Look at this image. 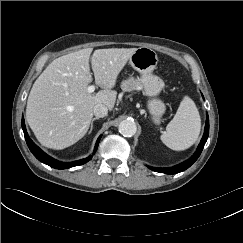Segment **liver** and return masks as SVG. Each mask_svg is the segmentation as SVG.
Listing matches in <instances>:
<instances>
[{"instance_id":"6515ba94","label":"liver","mask_w":243,"mask_h":243,"mask_svg":"<svg viewBox=\"0 0 243 243\" xmlns=\"http://www.w3.org/2000/svg\"><path fill=\"white\" fill-rule=\"evenodd\" d=\"M137 48L97 49L91 57L95 83L103 90L87 92L92 82V48L53 60L34 82L27 100L26 120L41 145L64 149L87 133L93 109L104 104L112 110L117 77Z\"/></svg>"}]
</instances>
